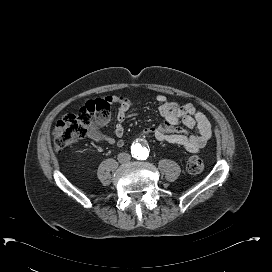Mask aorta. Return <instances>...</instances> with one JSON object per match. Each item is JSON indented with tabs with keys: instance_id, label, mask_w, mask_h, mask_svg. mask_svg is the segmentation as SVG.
Listing matches in <instances>:
<instances>
[{
	"instance_id": "1",
	"label": "aorta",
	"mask_w": 272,
	"mask_h": 272,
	"mask_svg": "<svg viewBox=\"0 0 272 272\" xmlns=\"http://www.w3.org/2000/svg\"><path fill=\"white\" fill-rule=\"evenodd\" d=\"M131 152L138 160H144L149 155V150L144 142H137L132 145Z\"/></svg>"
}]
</instances>
